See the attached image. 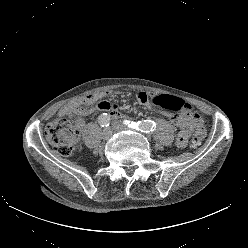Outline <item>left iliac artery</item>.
Masks as SVG:
<instances>
[{"instance_id":"left-iliac-artery-1","label":"left iliac artery","mask_w":248,"mask_h":248,"mask_svg":"<svg viewBox=\"0 0 248 248\" xmlns=\"http://www.w3.org/2000/svg\"><path fill=\"white\" fill-rule=\"evenodd\" d=\"M124 124L128 125V127L132 128V129H136V130H139V131L144 132V133H150L156 129L155 122L151 121V120H144V121H138V122L125 120Z\"/></svg>"}]
</instances>
